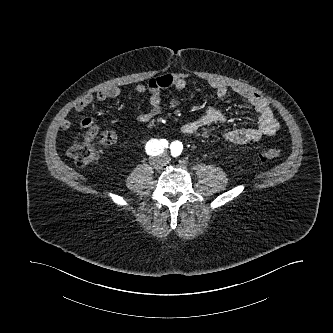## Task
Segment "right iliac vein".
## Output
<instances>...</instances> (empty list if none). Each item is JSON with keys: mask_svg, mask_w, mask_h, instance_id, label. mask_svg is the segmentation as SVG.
<instances>
[{"mask_svg": "<svg viewBox=\"0 0 333 333\" xmlns=\"http://www.w3.org/2000/svg\"><path fill=\"white\" fill-rule=\"evenodd\" d=\"M151 165L155 168L158 169L160 168L161 162L157 159L152 160Z\"/></svg>", "mask_w": 333, "mask_h": 333, "instance_id": "obj_1", "label": "right iliac vein"}]
</instances>
